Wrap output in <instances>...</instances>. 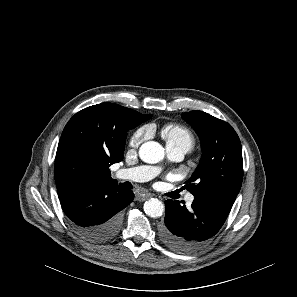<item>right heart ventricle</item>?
<instances>
[{
	"label": "right heart ventricle",
	"instance_id": "right-heart-ventricle-1",
	"mask_svg": "<svg viewBox=\"0 0 297 297\" xmlns=\"http://www.w3.org/2000/svg\"><path fill=\"white\" fill-rule=\"evenodd\" d=\"M161 134L167 145H187L191 148L194 144V136L191 131L179 124H168L164 126Z\"/></svg>",
	"mask_w": 297,
	"mask_h": 297
}]
</instances>
